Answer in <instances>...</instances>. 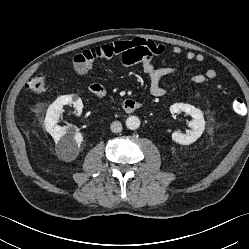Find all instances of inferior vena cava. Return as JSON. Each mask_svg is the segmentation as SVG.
I'll return each mask as SVG.
<instances>
[{
    "label": "inferior vena cava",
    "mask_w": 249,
    "mask_h": 249,
    "mask_svg": "<svg viewBox=\"0 0 249 249\" xmlns=\"http://www.w3.org/2000/svg\"><path fill=\"white\" fill-rule=\"evenodd\" d=\"M110 129L113 133H119L122 131V124L120 121H113L110 125Z\"/></svg>",
    "instance_id": "inferior-vena-cava-1"
}]
</instances>
